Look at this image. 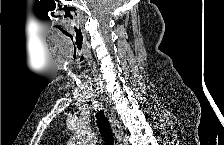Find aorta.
Returning a JSON list of instances; mask_svg holds the SVG:
<instances>
[{"instance_id":"1","label":"aorta","mask_w":224,"mask_h":145,"mask_svg":"<svg viewBox=\"0 0 224 145\" xmlns=\"http://www.w3.org/2000/svg\"><path fill=\"white\" fill-rule=\"evenodd\" d=\"M95 142L94 133L88 128L78 129L72 139L74 145H93Z\"/></svg>"}]
</instances>
